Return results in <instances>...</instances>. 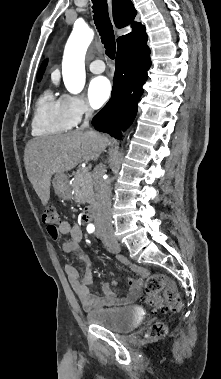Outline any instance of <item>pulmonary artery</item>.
<instances>
[{
	"label": "pulmonary artery",
	"mask_w": 221,
	"mask_h": 379,
	"mask_svg": "<svg viewBox=\"0 0 221 379\" xmlns=\"http://www.w3.org/2000/svg\"><path fill=\"white\" fill-rule=\"evenodd\" d=\"M89 69L92 73L100 74L105 70L104 62L102 60H94L89 64Z\"/></svg>",
	"instance_id": "pulmonary-artery-1"
}]
</instances>
